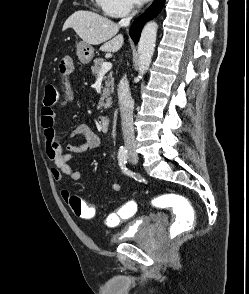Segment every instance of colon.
I'll return each mask as SVG.
<instances>
[{
    "instance_id": "5ec220e1",
    "label": "colon",
    "mask_w": 249,
    "mask_h": 294,
    "mask_svg": "<svg viewBox=\"0 0 249 294\" xmlns=\"http://www.w3.org/2000/svg\"><path fill=\"white\" fill-rule=\"evenodd\" d=\"M72 60L68 57L63 58L59 64V73L61 76H66L71 68ZM60 101L59 89L53 84H47L45 86L44 104L47 106H53ZM69 204L78 217H94V210L91 206L81 199L79 196H72L69 200ZM156 206H170L177 213L176 219L169 227V235L171 239H175L182 233L191 230L194 223L193 207L188 199L179 195L167 194L160 196L154 200ZM137 210V204L135 202L126 203L120 214L121 218H128L135 214ZM187 212V213H186Z\"/></svg>"
}]
</instances>
